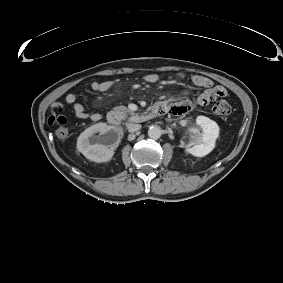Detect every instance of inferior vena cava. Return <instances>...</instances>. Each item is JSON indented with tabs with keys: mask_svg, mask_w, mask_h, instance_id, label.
<instances>
[{
	"mask_svg": "<svg viewBox=\"0 0 283 283\" xmlns=\"http://www.w3.org/2000/svg\"><path fill=\"white\" fill-rule=\"evenodd\" d=\"M141 128V125L140 124H135V123H129L127 125V129L129 132H135V131H138L140 130Z\"/></svg>",
	"mask_w": 283,
	"mask_h": 283,
	"instance_id": "obj_1",
	"label": "inferior vena cava"
}]
</instances>
